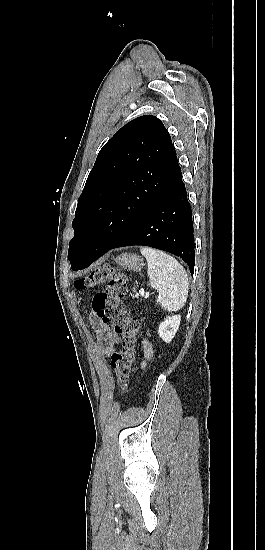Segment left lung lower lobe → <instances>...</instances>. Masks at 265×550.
<instances>
[{"label": "left lung lower lobe", "instance_id": "1", "mask_svg": "<svg viewBox=\"0 0 265 550\" xmlns=\"http://www.w3.org/2000/svg\"><path fill=\"white\" fill-rule=\"evenodd\" d=\"M192 211L181 170L151 202L130 227L103 252L88 255L78 268L84 269L111 249L143 245L170 252L182 258L191 274L195 265Z\"/></svg>", "mask_w": 265, "mask_h": 550}]
</instances>
